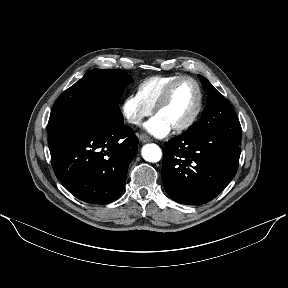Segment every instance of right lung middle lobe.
Wrapping results in <instances>:
<instances>
[{
  "label": "right lung middle lobe",
  "instance_id": "obj_1",
  "mask_svg": "<svg viewBox=\"0 0 288 288\" xmlns=\"http://www.w3.org/2000/svg\"><path fill=\"white\" fill-rule=\"evenodd\" d=\"M132 81L130 75L120 70H90L58 98L51 110L49 121L70 108L90 103L113 122H124L118 103L125 88Z\"/></svg>",
  "mask_w": 288,
  "mask_h": 288
}]
</instances>
